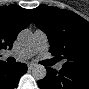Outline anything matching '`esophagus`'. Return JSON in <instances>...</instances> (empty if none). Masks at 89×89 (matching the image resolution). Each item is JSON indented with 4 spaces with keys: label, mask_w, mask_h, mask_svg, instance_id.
<instances>
[{
    "label": "esophagus",
    "mask_w": 89,
    "mask_h": 89,
    "mask_svg": "<svg viewBox=\"0 0 89 89\" xmlns=\"http://www.w3.org/2000/svg\"><path fill=\"white\" fill-rule=\"evenodd\" d=\"M28 70H29V71L32 70V66H31V65L28 66Z\"/></svg>",
    "instance_id": "esophagus-1"
}]
</instances>
